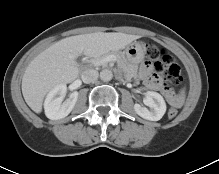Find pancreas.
<instances>
[{"instance_id": "obj_1", "label": "pancreas", "mask_w": 219, "mask_h": 174, "mask_svg": "<svg viewBox=\"0 0 219 174\" xmlns=\"http://www.w3.org/2000/svg\"><path fill=\"white\" fill-rule=\"evenodd\" d=\"M114 55L116 57V61L118 66L125 72V76L127 80H131L132 77H135L134 68L128 64L126 57L119 52H108L101 56H97L94 58L95 62L102 61L106 59L108 56Z\"/></svg>"}]
</instances>
